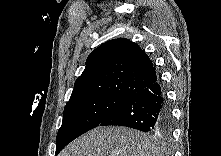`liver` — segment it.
Instances as JSON below:
<instances>
[{"instance_id":"liver-1","label":"liver","mask_w":221,"mask_h":156,"mask_svg":"<svg viewBox=\"0 0 221 156\" xmlns=\"http://www.w3.org/2000/svg\"><path fill=\"white\" fill-rule=\"evenodd\" d=\"M158 139L126 127L95 128L63 149L59 156H161Z\"/></svg>"}]
</instances>
